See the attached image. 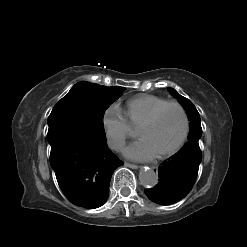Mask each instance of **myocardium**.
Here are the masks:
<instances>
[{"label":"myocardium","instance_id":"obj_1","mask_svg":"<svg viewBox=\"0 0 247 247\" xmlns=\"http://www.w3.org/2000/svg\"><path fill=\"white\" fill-rule=\"evenodd\" d=\"M168 107H175L179 110L181 116H182V120H183V130L182 133L179 137V139L177 140V142L168 150L156 154V157L159 159H164L167 158L171 155H173L174 153H176L180 147L183 145V143L185 142L188 133H189V118H188V114L185 110V108L176 101H167L166 103L160 105L159 107H157L140 125L139 127H147L152 125L157 118L159 117V115Z\"/></svg>","mask_w":247,"mask_h":247}]
</instances>
